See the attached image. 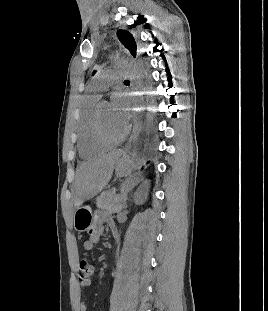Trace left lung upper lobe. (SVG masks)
Instances as JSON below:
<instances>
[{"instance_id": "5c2ea615", "label": "left lung upper lobe", "mask_w": 268, "mask_h": 311, "mask_svg": "<svg viewBox=\"0 0 268 311\" xmlns=\"http://www.w3.org/2000/svg\"><path fill=\"white\" fill-rule=\"evenodd\" d=\"M117 36L120 40V42L129 50L131 55L136 58V53H137V45L134 40V37L132 36L131 33L128 31H123V30H118L117 31ZM95 71L93 72V74Z\"/></svg>"}]
</instances>
